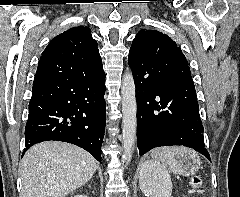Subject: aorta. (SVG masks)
I'll use <instances>...</instances> for the list:
<instances>
[{"mask_svg":"<svg viewBox=\"0 0 240 197\" xmlns=\"http://www.w3.org/2000/svg\"><path fill=\"white\" fill-rule=\"evenodd\" d=\"M122 162L129 164L137 134L136 88L131 72H126L122 79Z\"/></svg>","mask_w":240,"mask_h":197,"instance_id":"obj_1","label":"aorta"}]
</instances>
